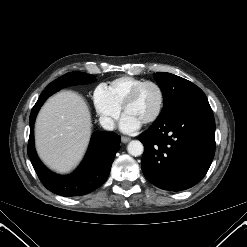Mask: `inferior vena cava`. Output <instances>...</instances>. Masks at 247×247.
Segmentation results:
<instances>
[{"label":"inferior vena cava","instance_id":"602c4592","mask_svg":"<svg viewBox=\"0 0 247 247\" xmlns=\"http://www.w3.org/2000/svg\"><path fill=\"white\" fill-rule=\"evenodd\" d=\"M100 124L101 126L106 129V130H113L114 129V121L113 119L109 118V117H104L101 116L99 118Z\"/></svg>","mask_w":247,"mask_h":247}]
</instances>
